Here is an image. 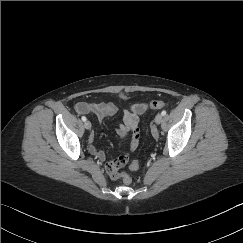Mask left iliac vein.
<instances>
[{
	"mask_svg": "<svg viewBox=\"0 0 243 243\" xmlns=\"http://www.w3.org/2000/svg\"><path fill=\"white\" fill-rule=\"evenodd\" d=\"M162 120H163V116L161 114H157L155 116V123L156 124H160L162 122ZM154 135H155V133H154Z\"/></svg>",
	"mask_w": 243,
	"mask_h": 243,
	"instance_id": "left-iliac-vein-1",
	"label": "left iliac vein"
}]
</instances>
